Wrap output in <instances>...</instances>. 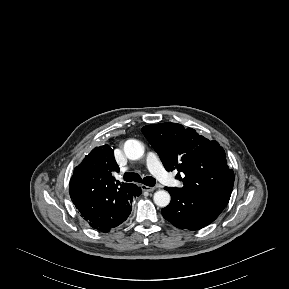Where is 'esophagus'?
I'll list each match as a JSON object with an SVG mask.
<instances>
[{"instance_id": "1", "label": "esophagus", "mask_w": 289, "mask_h": 289, "mask_svg": "<svg viewBox=\"0 0 289 289\" xmlns=\"http://www.w3.org/2000/svg\"><path fill=\"white\" fill-rule=\"evenodd\" d=\"M142 190L147 191V192H153L155 190V187H149L146 185H141Z\"/></svg>"}]
</instances>
